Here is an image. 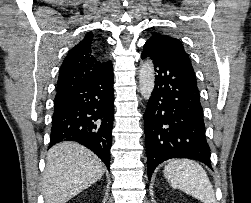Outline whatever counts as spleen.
Wrapping results in <instances>:
<instances>
[{
	"label": "spleen",
	"mask_w": 251,
	"mask_h": 203,
	"mask_svg": "<svg viewBox=\"0 0 251 203\" xmlns=\"http://www.w3.org/2000/svg\"><path fill=\"white\" fill-rule=\"evenodd\" d=\"M163 173L173 188L182 190L203 203H216L207 173L197 162L189 159L172 160L165 166Z\"/></svg>",
	"instance_id": "obj_1"
}]
</instances>
